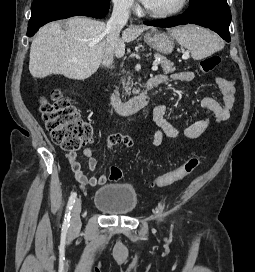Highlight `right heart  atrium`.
Returning <instances> with one entry per match:
<instances>
[{
	"label": "right heart atrium",
	"mask_w": 255,
	"mask_h": 272,
	"mask_svg": "<svg viewBox=\"0 0 255 272\" xmlns=\"http://www.w3.org/2000/svg\"><path fill=\"white\" fill-rule=\"evenodd\" d=\"M114 7L121 12H130L135 9L134 0H112Z\"/></svg>",
	"instance_id": "d8ad5b80"
}]
</instances>
